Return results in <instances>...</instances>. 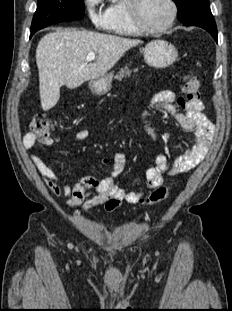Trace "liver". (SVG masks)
<instances>
[{
  "mask_svg": "<svg viewBox=\"0 0 232 311\" xmlns=\"http://www.w3.org/2000/svg\"><path fill=\"white\" fill-rule=\"evenodd\" d=\"M141 40L90 31L58 29L41 38L36 49L41 107H54L60 87L75 89L85 81L105 75L120 58ZM97 54L87 63L88 53Z\"/></svg>",
  "mask_w": 232,
  "mask_h": 311,
  "instance_id": "obj_1",
  "label": "liver"
}]
</instances>
